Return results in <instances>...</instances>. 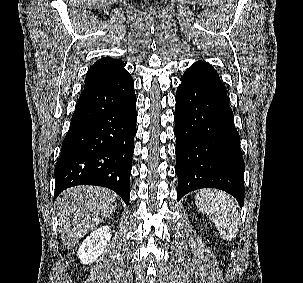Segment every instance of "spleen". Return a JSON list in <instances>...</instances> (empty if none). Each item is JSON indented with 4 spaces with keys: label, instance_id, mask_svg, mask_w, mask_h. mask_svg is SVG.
I'll return each instance as SVG.
<instances>
[{
    "label": "spleen",
    "instance_id": "obj_1",
    "mask_svg": "<svg viewBox=\"0 0 303 283\" xmlns=\"http://www.w3.org/2000/svg\"><path fill=\"white\" fill-rule=\"evenodd\" d=\"M195 204L198 210L212 220L225 241L236 237L239 213L228 194L214 189L200 190L195 196Z\"/></svg>",
    "mask_w": 303,
    "mask_h": 283
}]
</instances>
